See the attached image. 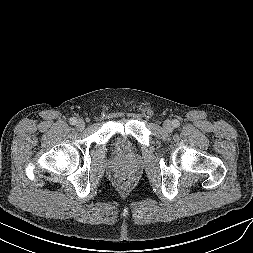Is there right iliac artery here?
<instances>
[{
  "label": "right iliac artery",
  "mask_w": 253,
  "mask_h": 253,
  "mask_svg": "<svg viewBox=\"0 0 253 253\" xmlns=\"http://www.w3.org/2000/svg\"><path fill=\"white\" fill-rule=\"evenodd\" d=\"M77 122V119L75 117L70 118V124L75 125Z\"/></svg>",
  "instance_id": "obj_1"
}]
</instances>
